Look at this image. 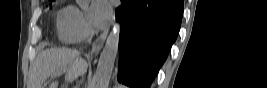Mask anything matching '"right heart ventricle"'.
Instances as JSON below:
<instances>
[{"label": "right heart ventricle", "mask_w": 267, "mask_h": 88, "mask_svg": "<svg viewBox=\"0 0 267 88\" xmlns=\"http://www.w3.org/2000/svg\"><path fill=\"white\" fill-rule=\"evenodd\" d=\"M66 9H67V8H66ZM66 9L61 10V11H60V15H62V14L66 11ZM60 15H59V16H60Z\"/></svg>", "instance_id": "1"}]
</instances>
